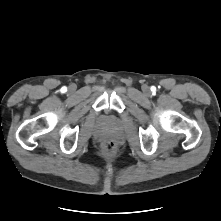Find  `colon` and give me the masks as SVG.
<instances>
[{
    "label": "colon",
    "instance_id": "obj_1",
    "mask_svg": "<svg viewBox=\"0 0 221 221\" xmlns=\"http://www.w3.org/2000/svg\"><path fill=\"white\" fill-rule=\"evenodd\" d=\"M117 143L114 140L107 139L102 144L103 154L107 157H113L117 153Z\"/></svg>",
    "mask_w": 221,
    "mask_h": 221
}]
</instances>
